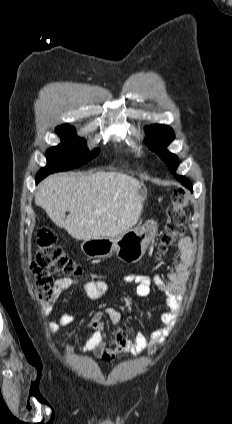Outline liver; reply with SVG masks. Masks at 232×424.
<instances>
[{
	"label": "liver",
	"instance_id": "1",
	"mask_svg": "<svg viewBox=\"0 0 232 424\" xmlns=\"http://www.w3.org/2000/svg\"><path fill=\"white\" fill-rule=\"evenodd\" d=\"M145 195L139 181L124 173H58L41 182L35 204L74 239L90 240L116 237L132 228Z\"/></svg>",
	"mask_w": 232,
	"mask_h": 424
}]
</instances>
